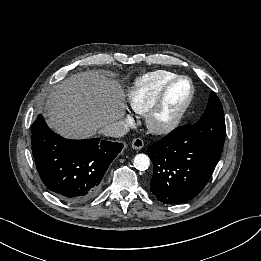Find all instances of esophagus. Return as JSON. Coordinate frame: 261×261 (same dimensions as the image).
<instances>
[{"label": "esophagus", "instance_id": "esophagus-1", "mask_svg": "<svg viewBox=\"0 0 261 261\" xmlns=\"http://www.w3.org/2000/svg\"><path fill=\"white\" fill-rule=\"evenodd\" d=\"M131 146L135 150H140L144 146V142L141 138H135L132 140Z\"/></svg>", "mask_w": 261, "mask_h": 261}]
</instances>
